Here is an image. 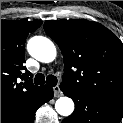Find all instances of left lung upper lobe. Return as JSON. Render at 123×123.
Masks as SVG:
<instances>
[{"label":"left lung upper lobe","mask_w":123,"mask_h":123,"mask_svg":"<svg viewBox=\"0 0 123 123\" xmlns=\"http://www.w3.org/2000/svg\"><path fill=\"white\" fill-rule=\"evenodd\" d=\"M44 30L63 54L64 86L123 105V43L114 33L85 19L49 20Z\"/></svg>","instance_id":"1"}]
</instances>
